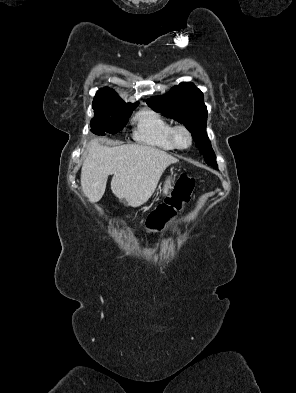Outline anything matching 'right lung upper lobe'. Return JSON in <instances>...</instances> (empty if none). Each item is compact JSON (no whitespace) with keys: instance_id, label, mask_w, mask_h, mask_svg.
I'll list each match as a JSON object with an SVG mask.
<instances>
[{"instance_id":"right-lung-upper-lobe-1","label":"right lung upper lobe","mask_w":296,"mask_h":393,"mask_svg":"<svg viewBox=\"0 0 296 393\" xmlns=\"http://www.w3.org/2000/svg\"><path fill=\"white\" fill-rule=\"evenodd\" d=\"M109 101H123V100L112 89L105 87L96 93L93 104L109 102Z\"/></svg>"}]
</instances>
